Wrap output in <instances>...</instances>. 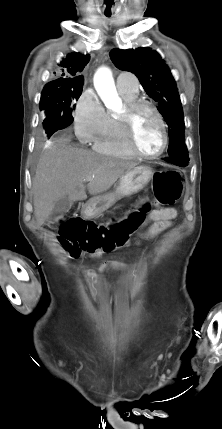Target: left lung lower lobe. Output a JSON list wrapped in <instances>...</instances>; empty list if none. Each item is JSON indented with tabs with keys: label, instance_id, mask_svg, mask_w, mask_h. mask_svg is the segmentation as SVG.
<instances>
[{
	"label": "left lung lower lobe",
	"instance_id": "left-lung-lower-lobe-1",
	"mask_svg": "<svg viewBox=\"0 0 222 429\" xmlns=\"http://www.w3.org/2000/svg\"><path fill=\"white\" fill-rule=\"evenodd\" d=\"M165 161L172 163L176 166L186 167L188 165L189 160H184L176 157H167L164 159Z\"/></svg>",
	"mask_w": 222,
	"mask_h": 429
}]
</instances>
